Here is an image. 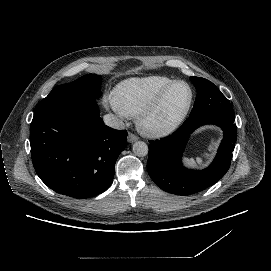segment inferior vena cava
Wrapping results in <instances>:
<instances>
[{
    "label": "inferior vena cava",
    "mask_w": 271,
    "mask_h": 271,
    "mask_svg": "<svg viewBox=\"0 0 271 271\" xmlns=\"http://www.w3.org/2000/svg\"><path fill=\"white\" fill-rule=\"evenodd\" d=\"M104 123L114 129H123L125 127L124 122L120 120L114 114H106L103 116Z\"/></svg>",
    "instance_id": "1"
}]
</instances>
